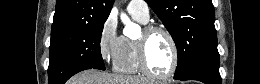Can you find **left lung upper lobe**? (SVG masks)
<instances>
[{
    "instance_id": "left-lung-upper-lobe-1",
    "label": "left lung upper lobe",
    "mask_w": 260,
    "mask_h": 84,
    "mask_svg": "<svg viewBox=\"0 0 260 84\" xmlns=\"http://www.w3.org/2000/svg\"><path fill=\"white\" fill-rule=\"evenodd\" d=\"M171 34L178 51L174 77L219 60L211 0H146Z\"/></svg>"
}]
</instances>
